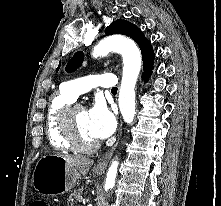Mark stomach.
I'll return each instance as SVG.
<instances>
[{
  "instance_id": "obj_1",
  "label": "stomach",
  "mask_w": 221,
  "mask_h": 206,
  "mask_svg": "<svg viewBox=\"0 0 221 206\" xmlns=\"http://www.w3.org/2000/svg\"><path fill=\"white\" fill-rule=\"evenodd\" d=\"M78 173L59 155H46L37 162L33 187L42 194L58 195L70 191L76 184Z\"/></svg>"
}]
</instances>
